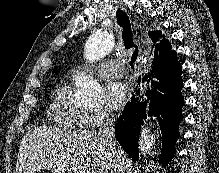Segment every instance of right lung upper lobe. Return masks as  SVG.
<instances>
[{
  "label": "right lung upper lobe",
  "instance_id": "cb5924a9",
  "mask_svg": "<svg viewBox=\"0 0 219 173\" xmlns=\"http://www.w3.org/2000/svg\"><path fill=\"white\" fill-rule=\"evenodd\" d=\"M149 36L152 39V41L155 42L159 41L160 38L164 37L161 35V31L150 32ZM171 48V44L167 39H163L160 41L159 44H156L154 53L155 60H153V63L157 62L161 57H165L166 55H168L172 51ZM172 52L174 53V51Z\"/></svg>",
  "mask_w": 219,
  "mask_h": 173
}]
</instances>
